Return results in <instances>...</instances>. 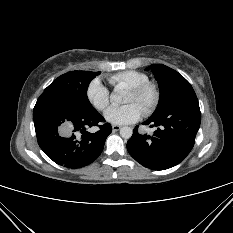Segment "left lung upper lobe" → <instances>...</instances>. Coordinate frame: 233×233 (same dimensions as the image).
I'll return each instance as SVG.
<instances>
[{"mask_svg": "<svg viewBox=\"0 0 233 233\" xmlns=\"http://www.w3.org/2000/svg\"><path fill=\"white\" fill-rule=\"evenodd\" d=\"M149 69L152 70L159 84L160 99L156 110L151 115V117H157L171 105L181 90L190 84L180 73L163 64H152L145 70Z\"/></svg>", "mask_w": 233, "mask_h": 233, "instance_id": "5c2ea615", "label": "left lung upper lobe"}]
</instances>
